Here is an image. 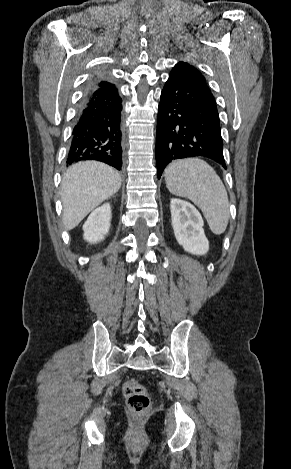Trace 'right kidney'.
Wrapping results in <instances>:
<instances>
[{"label": "right kidney", "mask_w": 291, "mask_h": 469, "mask_svg": "<svg viewBox=\"0 0 291 469\" xmlns=\"http://www.w3.org/2000/svg\"><path fill=\"white\" fill-rule=\"evenodd\" d=\"M111 217L109 203L95 209L83 225L84 240L92 244L102 241L109 232Z\"/></svg>", "instance_id": "ca27d5eb"}]
</instances>
